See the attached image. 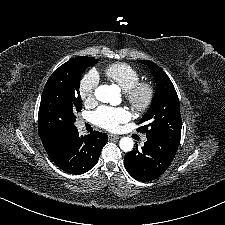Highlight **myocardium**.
Returning <instances> with one entry per match:
<instances>
[{
    "instance_id": "f54148a6",
    "label": "myocardium",
    "mask_w": 225,
    "mask_h": 225,
    "mask_svg": "<svg viewBox=\"0 0 225 225\" xmlns=\"http://www.w3.org/2000/svg\"><path fill=\"white\" fill-rule=\"evenodd\" d=\"M125 98L131 107L138 112H145L151 106L155 88L149 81H138L124 92Z\"/></svg>"
}]
</instances>
